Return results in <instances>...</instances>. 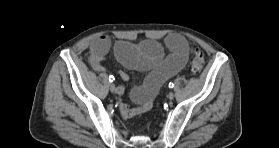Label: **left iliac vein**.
<instances>
[{
	"label": "left iliac vein",
	"mask_w": 279,
	"mask_h": 148,
	"mask_svg": "<svg viewBox=\"0 0 279 148\" xmlns=\"http://www.w3.org/2000/svg\"><path fill=\"white\" fill-rule=\"evenodd\" d=\"M173 98H174V93H173V92H170V93L168 94V99H169V100H173Z\"/></svg>",
	"instance_id": "1"
}]
</instances>
